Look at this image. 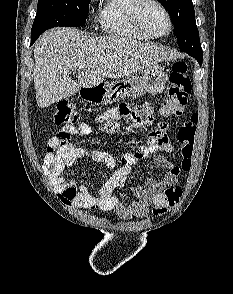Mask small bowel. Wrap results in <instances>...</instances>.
<instances>
[{
  "label": "small bowel",
  "mask_w": 233,
  "mask_h": 294,
  "mask_svg": "<svg viewBox=\"0 0 233 294\" xmlns=\"http://www.w3.org/2000/svg\"><path fill=\"white\" fill-rule=\"evenodd\" d=\"M157 109L151 103L120 104L117 109H110L96 118L97 130L105 135L114 136L118 133L121 122H129L130 126H152L156 122ZM93 128L81 122L78 126H65L57 135L47 142L44 167L61 188V197L65 204L88 210L110 211L123 219L145 217L157 194L173 188L178 182L180 168L163 155L154 158V164L166 169L161 181L152 177L145 179L144 186L133 188L136 199L128 204L119 200L118 192L123 188L132 167L151 153L170 151L171 143L167 135V123L160 122L148 133L147 144L140 145L135 152L116 156L107 151L90 149L89 151L71 143L70 135L89 136ZM67 134L69 139L61 142L60 135ZM76 161H91L104 164L113 169V173L101 189L92 193L86 186L76 187L73 180H66L64 170Z\"/></svg>",
  "instance_id": "1"
}]
</instances>
